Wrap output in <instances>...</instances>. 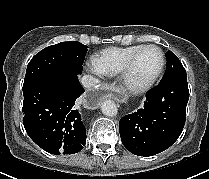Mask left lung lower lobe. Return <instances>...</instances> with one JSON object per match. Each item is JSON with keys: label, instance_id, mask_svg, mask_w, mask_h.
Returning <instances> with one entry per match:
<instances>
[{"label": "left lung lower lobe", "instance_id": "0a47b994", "mask_svg": "<svg viewBox=\"0 0 209 179\" xmlns=\"http://www.w3.org/2000/svg\"><path fill=\"white\" fill-rule=\"evenodd\" d=\"M189 99L187 77L159 83L146 94L144 107L119 122L123 145L138 156L169 148L180 136Z\"/></svg>", "mask_w": 209, "mask_h": 179}]
</instances>
